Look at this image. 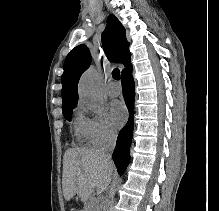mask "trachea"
Here are the masks:
<instances>
[{
	"label": "trachea",
	"mask_w": 219,
	"mask_h": 211,
	"mask_svg": "<svg viewBox=\"0 0 219 211\" xmlns=\"http://www.w3.org/2000/svg\"><path fill=\"white\" fill-rule=\"evenodd\" d=\"M112 76L114 80H120V70L118 68H114L112 71Z\"/></svg>",
	"instance_id": "1"
}]
</instances>
